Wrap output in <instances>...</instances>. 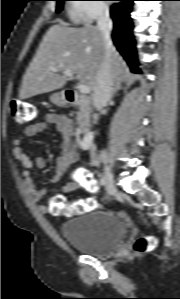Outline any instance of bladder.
<instances>
[{
	"label": "bladder",
	"mask_w": 180,
	"mask_h": 299,
	"mask_svg": "<svg viewBox=\"0 0 180 299\" xmlns=\"http://www.w3.org/2000/svg\"><path fill=\"white\" fill-rule=\"evenodd\" d=\"M126 232L123 220L106 210L75 216L61 225V234L72 248L99 257L117 252Z\"/></svg>",
	"instance_id": "31cf9c89"
}]
</instances>
